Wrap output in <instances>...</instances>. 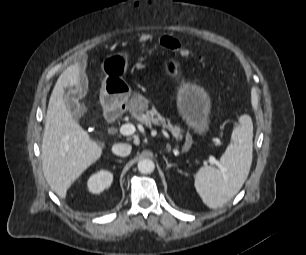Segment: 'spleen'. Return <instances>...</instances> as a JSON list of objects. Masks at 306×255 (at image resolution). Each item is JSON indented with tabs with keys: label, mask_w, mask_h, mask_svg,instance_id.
Here are the masks:
<instances>
[{
	"label": "spleen",
	"mask_w": 306,
	"mask_h": 255,
	"mask_svg": "<svg viewBox=\"0 0 306 255\" xmlns=\"http://www.w3.org/2000/svg\"><path fill=\"white\" fill-rule=\"evenodd\" d=\"M231 140L220 158L222 168L203 166L195 175L196 191L204 204L212 209L231 200L248 177L253 151V123L249 115L239 118Z\"/></svg>",
	"instance_id": "3e777b00"
}]
</instances>
